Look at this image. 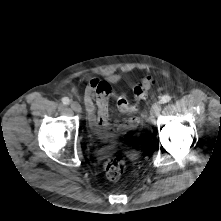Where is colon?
<instances>
[{"label":"colon","mask_w":221,"mask_h":221,"mask_svg":"<svg viewBox=\"0 0 221 221\" xmlns=\"http://www.w3.org/2000/svg\"><path fill=\"white\" fill-rule=\"evenodd\" d=\"M92 80H98V79H92ZM153 83L154 80L151 76H144L141 79L140 83L134 87L133 93L136 104H138L139 101L143 100L147 96V93L150 90ZM118 102H120V104H125L130 109L136 108L135 106L129 105V102L125 96L120 97ZM125 169H126V161L122 155H117L115 158L108 161L104 166L106 177L108 180L112 182L119 180L124 174Z\"/></svg>","instance_id":"1"}]
</instances>
